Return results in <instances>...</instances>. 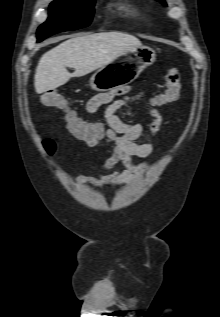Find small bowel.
Wrapping results in <instances>:
<instances>
[{
    "mask_svg": "<svg viewBox=\"0 0 220 317\" xmlns=\"http://www.w3.org/2000/svg\"><path fill=\"white\" fill-rule=\"evenodd\" d=\"M122 99L112 100L113 93L103 92L94 95L87 103L88 113H95L101 106L108 104L105 111V122H83V128L72 130L71 135L81 140L87 147L92 148L102 143H109L113 146L112 155L102 164V170H110L117 164L124 165L123 170L111 174H99L98 176H89L79 174L76 177L78 184L88 183L98 188L104 185H124L142 175L147 167V163H137L135 158L147 159L154 151V146L150 142H139L145 135V127L138 122H124L117 116V111L130 100H139L142 93L133 96L126 95L123 90ZM153 121L149 125L148 131L156 135L162 125V116L160 112L152 107L150 110Z\"/></svg>",
    "mask_w": 220,
    "mask_h": 317,
    "instance_id": "small-bowel-1",
    "label": "small bowel"
}]
</instances>
